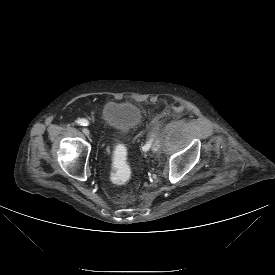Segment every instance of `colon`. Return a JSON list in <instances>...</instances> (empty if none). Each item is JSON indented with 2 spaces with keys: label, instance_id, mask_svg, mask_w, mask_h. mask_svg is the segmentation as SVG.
I'll return each instance as SVG.
<instances>
[{
  "label": "colon",
  "instance_id": "1",
  "mask_svg": "<svg viewBox=\"0 0 275 275\" xmlns=\"http://www.w3.org/2000/svg\"><path fill=\"white\" fill-rule=\"evenodd\" d=\"M131 167L125 159H117L111 170V179L115 184H124L131 177Z\"/></svg>",
  "mask_w": 275,
  "mask_h": 275
}]
</instances>
